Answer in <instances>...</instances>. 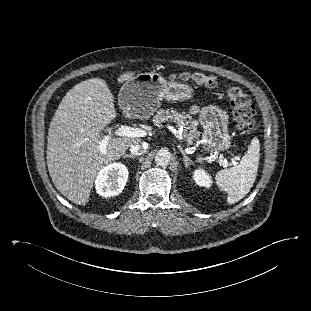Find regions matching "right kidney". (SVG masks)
<instances>
[{
  "mask_svg": "<svg viewBox=\"0 0 311 311\" xmlns=\"http://www.w3.org/2000/svg\"><path fill=\"white\" fill-rule=\"evenodd\" d=\"M127 167L118 162L103 167L95 180L96 192L102 197H112L120 194L128 180Z\"/></svg>",
  "mask_w": 311,
  "mask_h": 311,
  "instance_id": "obj_1",
  "label": "right kidney"
}]
</instances>
